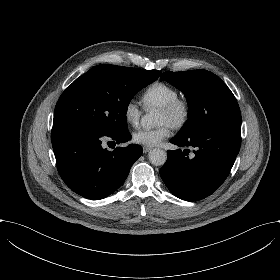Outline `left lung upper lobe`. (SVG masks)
Here are the masks:
<instances>
[{
    "label": "left lung upper lobe",
    "mask_w": 280,
    "mask_h": 280,
    "mask_svg": "<svg viewBox=\"0 0 280 280\" xmlns=\"http://www.w3.org/2000/svg\"><path fill=\"white\" fill-rule=\"evenodd\" d=\"M166 80L181 90L188 103V120L177 135L188 136L210 126L241 122L239 105L226 84L206 70L165 72Z\"/></svg>",
    "instance_id": "1"
}]
</instances>
